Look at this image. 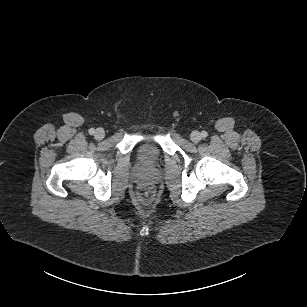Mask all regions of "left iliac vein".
I'll use <instances>...</instances> for the list:
<instances>
[{"instance_id": "obj_1", "label": "left iliac vein", "mask_w": 307, "mask_h": 307, "mask_svg": "<svg viewBox=\"0 0 307 307\" xmlns=\"http://www.w3.org/2000/svg\"><path fill=\"white\" fill-rule=\"evenodd\" d=\"M202 136L200 134V132L198 131H193L190 135V139L194 142V143H198L201 140Z\"/></svg>"}]
</instances>
